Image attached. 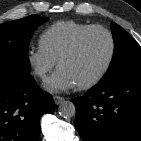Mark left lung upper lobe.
Here are the masks:
<instances>
[{
  "label": "left lung upper lobe",
  "instance_id": "5c2ea615",
  "mask_svg": "<svg viewBox=\"0 0 141 141\" xmlns=\"http://www.w3.org/2000/svg\"><path fill=\"white\" fill-rule=\"evenodd\" d=\"M114 54L109 69L100 82L141 72V46L119 25L111 24ZM99 82V83H100Z\"/></svg>",
  "mask_w": 141,
  "mask_h": 141
}]
</instances>
